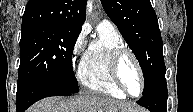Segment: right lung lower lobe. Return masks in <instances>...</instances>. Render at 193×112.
<instances>
[{
  "label": "right lung lower lobe",
  "instance_id": "obj_1",
  "mask_svg": "<svg viewBox=\"0 0 193 112\" xmlns=\"http://www.w3.org/2000/svg\"><path fill=\"white\" fill-rule=\"evenodd\" d=\"M72 93L57 91L56 89L44 86L33 85L22 90H17L16 108L17 112H24L29 106L36 101L49 96H70Z\"/></svg>",
  "mask_w": 193,
  "mask_h": 112
}]
</instances>
